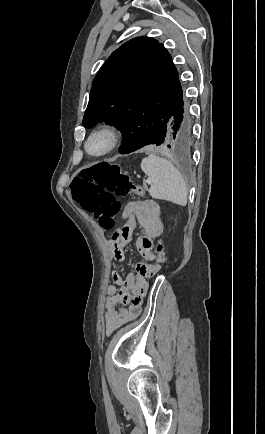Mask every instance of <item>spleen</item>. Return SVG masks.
I'll list each match as a JSON object with an SVG mask.
<instances>
[{
    "label": "spleen",
    "mask_w": 265,
    "mask_h": 434,
    "mask_svg": "<svg viewBox=\"0 0 265 434\" xmlns=\"http://www.w3.org/2000/svg\"><path fill=\"white\" fill-rule=\"evenodd\" d=\"M141 170L149 176L152 186L148 190L151 198L155 200H168L179 206L187 204L186 184L177 168L172 162L160 158L156 154H150L148 158H143Z\"/></svg>",
    "instance_id": "1"
}]
</instances>
